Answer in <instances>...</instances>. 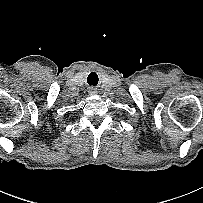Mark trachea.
Returning a JSON list of instances; mask_svg holds the SVG:
<instances>
[{"mask_svg": "<svg viewBox=\"0 0 203 203\" xmlns=\"http://www.w3.org/2000/svg\"><path fill=\"white\" fill-rule=\"evenodd\" d=\"M87 82L90 85H96L98 83V76L95 73H91L87 78Z\"/></svg>", "mask_w": 203, "mask_h": 203, "instance_id": "1", "label": "trachea"}]
</instances>
